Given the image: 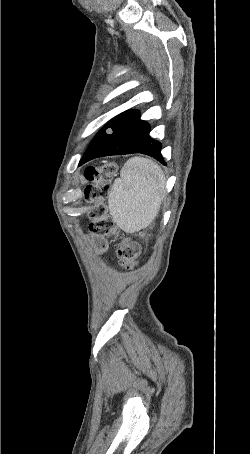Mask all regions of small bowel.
Segmentation results:
<instances>
[{
    "mask_svg": "<svg viewBox=\"0 0 250 454\" xmlns=\"http://www.w3.org/2000/svg\"><path fill=\"white\" fill-rule=\"evenodd\" d=\"M91 240L99 252H104L107 249V244L103 237L93 236Z\"/></svg>",
    "mask_w": 250,
    "mask_h": 454,
    "instance_id": "1",
    "label": "small bowel"
}]
</instances>
